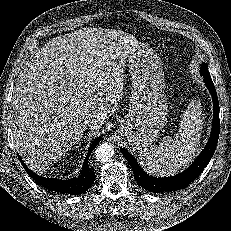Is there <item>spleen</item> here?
I'll return each instance as SVG.
<instances>
[{"instance_id": "obj_1", "label": "spleen", "mask_w": 231, "mask_h": 231, "mask_svg": "<svg viewBox=\"0 0 231 231\" xmlns=\"http://www.w3.org/2000/svg\"><path fill=\"white\" fill-rule=\"evenodd\" d=\"M201 104L192 101L181 116L179 131L174 138L165 137L159 145L139 152L144 169L153 175H172L186 166L196 155L203 125Z\"/></svg>"}]
</instances>
